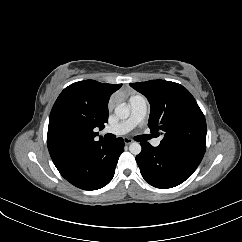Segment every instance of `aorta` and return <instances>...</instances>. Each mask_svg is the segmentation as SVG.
I'll return each mask as SVG.
<instances>
[{
    "instance_id": "1",
    "label": "aorta",
    "mask_w": 242,
    "mask_h": 242,
    "mask_svg": "<svg viewBox=\"0 0 242 242\" xmlns=\"http://www.w3.org/2000/svg\"><path fill=\"white\" fill-rule=\"evenodd\" d=\"M115 114L119 119L126 120L130 115V109L127 106L118 105L115 108ZM141 149V145L138 142H133L129 146V151L134 155H138Z\"/></svg>"
}]
</instances>
